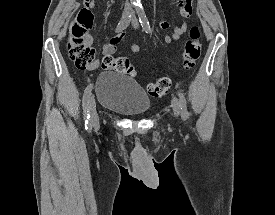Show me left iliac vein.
Wrapping results in <instances>:
<instances>
[{
    "mask_svg": "<svg viewBox=\"0 0 275 215\" xmlns=\"http://www.w3.org/2000/svg\"><path fill=\"white\" fill-rule=\"evenodd\" d=\"M128 10H129V8L127 7L126 11H128ZM132 24H133L134 28L138 27V24H137V22H136V20L134 18H132ZM172 103H173V112H174V115L177 117L179 115V113H180L179 103L176 100V98H173Z\"/></svg>",
    "mask_w": 275,
    "mask_h": 215,
    "instance_id": "left-iliac-vein-1",
    "label": "left iliac vein"
}]
</instances>
